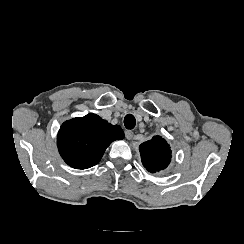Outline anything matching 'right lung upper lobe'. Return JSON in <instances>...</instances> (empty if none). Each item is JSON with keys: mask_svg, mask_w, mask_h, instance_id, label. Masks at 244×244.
Masks as SVG:
<instances>
[{"mask_svg": "<svg viewBox=\"0 0 244 244\" xmlns=\"http://www.w3.org/2000/svg\"><path fill=\"white\" fill-rule=\"evenodd\" d=\"M124 138L118 125H111L90 113L62 124L57 136L59 153L73 168L87 169L96 165L106 148L115 140Z\"/></svg>", "mask_w": 244, "mask_h": 244, "instance_id": "right-lung-upper-lobe-1", "label": "right lung upper lobe"}]
</instances>
